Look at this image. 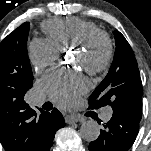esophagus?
I'll list each match as a JSON object with an SVG mask.
<instances>
[{"label": "esophagus", "mask_w": 151, "mask_h": 151, "mask_svg": "<svg viewBox=\"0 0 151 151\" xmlns=\"http://www.w3.org/2000/svg\"><path fill=\"white\" fill-rule=\"evenodd\" d=\"M81 121V118L78 117L77 115H67L65 116V122L67 124H73V123H76V122H79Z\"/></svg>", "instance_id": "esophagus-1"}]
</instances>
